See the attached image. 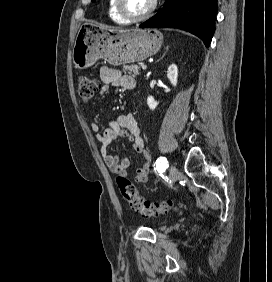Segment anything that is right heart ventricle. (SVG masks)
Listing matches in <instances>:
<instances>
[{
  "instance_id": "1",
  "label": "right heart ventricle",
  "mask_w": 272,
  "mask_h": 282,
  "mask_svg": "<svg viewBox=\"0 0 272 282\" xmlns=\"http://www.w3.org/2000/svg\"><path fill=\"white\" fill-rule=\"evenodd\" d=\"M109 16L110 18L119 24H129V22L125 19H123L116 11L115 7H114V0H110L109 1Z\"/></svg>"
}]
</instances>
